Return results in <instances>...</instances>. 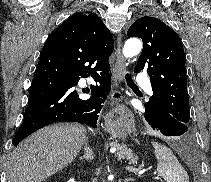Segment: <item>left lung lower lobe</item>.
Wrapping results in <instances>:
<instances>
[{
  "instance_id": "1",
  "label": "left lung lower lobe",
  "mask_w": 211,
  "mask_h": 182,
  "mask_svg": "<svg viewBox=\"0 0 211 182\" xmlns=\"http://www.w3.org/2000/svg\"><path fill=\"white\" fill-rule=\"evenodd\" d=\"M151 127L166 136H180L178 141L184 147L191 143L187 124L180 122L169 113L157 112L146 118Z\"/></svg>"
}]
</instances>
